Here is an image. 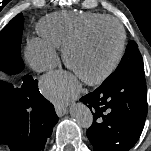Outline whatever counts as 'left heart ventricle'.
Wrapping results in <instances>:
<instances>
[{"instance_id":"obj_1","label":"left heart ventricle","mask_w":151,"mask_h":151,"mask_svg":"<svg viewBox=\"0 0 151 151\" xmlns=\"http://www.w3.org/2000/svg\"><path fill=\"white\" fill-rule=\"evenodd\" d=\"M119 46V32L112 23L94 29L86 40L70 53L71 69L82 80L103 72L114 60Z\"/></svg>"}]
</instances>
